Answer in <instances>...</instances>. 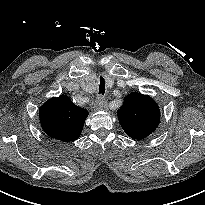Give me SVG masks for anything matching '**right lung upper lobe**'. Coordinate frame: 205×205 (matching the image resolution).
<instances>
[{
  "label": "right lung upper lobe",
  "mask_w": 205,
  "mask_h": 205,
  "mask_svg": "<svg viewBox=\"0 0 205 205\" xmlns=\"http://www.w3.org/2000/svg\"><path fill=\"white\" fill-rule=\"evenodd\" d=\"M40 123L51 138L64 142L78 139L88 111L73 104L66 95L51 98L40 108Z\"/></svg>",
  "instance_id": "right-lung-upper-lobe-1"
}]
</instances>
